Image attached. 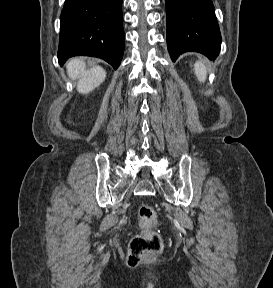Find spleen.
Wrapping results in <instances>:
<instances>
[{"mask_svg": "<svg viewBox=\"0 0 273 288\" xmlns=\"http://www.w3.org/2000/svg\"><path fill=\"white\" fill-rule=\"evenodd\" d=\"M194 71H195V75L197 77V79L204 83L206 81L207 78V69L205 64L199 60L194 64Z\"/></svg>", "mask_w": 273, "mask_h": 288, "instance_id": "obj_1", "label": "spleen"}]
</instances>
